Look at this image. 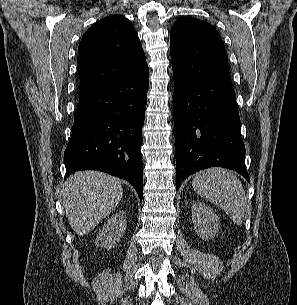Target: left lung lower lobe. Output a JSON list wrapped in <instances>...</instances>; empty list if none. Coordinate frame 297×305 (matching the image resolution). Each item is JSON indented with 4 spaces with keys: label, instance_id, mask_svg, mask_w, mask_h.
<instances>
[{
    "label": "left lung lower lobe",
    "instance_id": "left-lung-lower-lobe-1",
    "mask_svg": "<svg viewBox=\"0 0 297 305\" xmlns=\"http://www.w3.org/2000/svg\"><path fill=\"white\" fill-rule=\"evenodd\" d=\"M172 68L176 189L189 175L213 166L235 170L250 182L229 74L192 75L173 62Z\"/></svg>",
    "mask_w": 297,
    "mask_h": 305
}]
</instances>
